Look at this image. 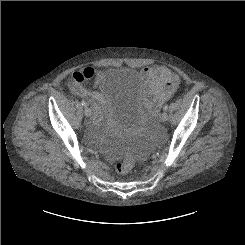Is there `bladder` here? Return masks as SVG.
I'll return each mask as SVG.
<instances>
[{
    "label": "bladder",
    "instance_id": "bladder-1",
    "mask_svg": "<svg viewBox=\"0 0 245 245\" xmlns=\"http://www.w3.org/2000/svg\"><path fill=\"white\" fill-rule=\"evenodd\" d=\"M102 90L108 104L100 127L103 134L117 139L136 138L144 130L148 111L135 69L110 67L106 71Z\"/></svg>",
    "mask_w": 245,
    "mask_h": 245
}]
</instances>
